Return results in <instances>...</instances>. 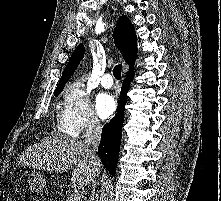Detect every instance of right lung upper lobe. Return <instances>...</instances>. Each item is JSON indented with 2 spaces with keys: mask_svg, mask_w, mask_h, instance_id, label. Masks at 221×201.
<instances>
[{
  "mask_svg": "<svg viewBox=\"0 0 221 201\" xmlns=\"http://www.w3.org/2000/svg\"><path fill=\"white\" fill-rule=\"evenodd\" d=\"M114 41L117 45V48L120 50L124 60L129 64L130 70L133 71V64L136 60L137 54V41L136 34L132 23L129 21L127 16L122 15L117 23L116 28L113 33ZM84 56V46L79 44L75 49L71 58L63 71L59 85L56 88V91H62L63 87L67 83L68 79L72 76L75 69L77 68L79 62ZM55 91V92H56Z\"/></svg>",
  "mask_w": 221,
  "mask_h": 201,
  "instance_id": "obj_1",
  "label": "right lung upper lobe"
}]
</instances>
